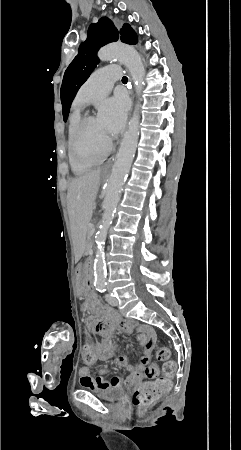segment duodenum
Listing matches in <instances>:
<instances>
[{"mask_svg":"<svg viewBox=\"0 0 241 450\" xmlns=\"http://www.w3.org/2000/svg\"><path fill=\"white\" fill-rule=\"evenodd\" d=\"M86 268V280H85V286L86 289L91 292L93 290V260L89 258L85 263Z\"/></svg>","mask_w":241,"mask_h":450,"instance_id":"obj_1","label":"duodenum"}]
</instances>
